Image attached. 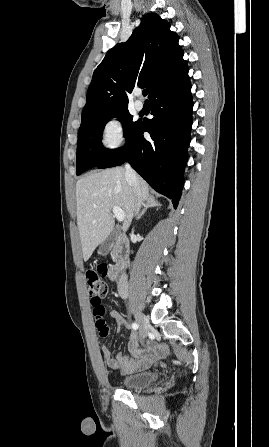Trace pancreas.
Returning <instances> with one entry per match:
<instances>
[{"instance_id":"pancreas-1","label":"pancreas","mask_w":269,"mask_h":447,"mask_svg":"<svg viewBox=\"0 0 269 447\" xmlns=\"http://www.w3.org/2000/svg\"><path fill=\"white\" fill-rule=\"evenodd\" d=\"M111 257H112V259H115V257H114V253H111Z\"/></svg>"}]
</instances>
